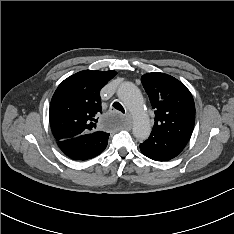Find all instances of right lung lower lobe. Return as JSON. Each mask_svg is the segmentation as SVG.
<instances>
[{"mask_svg":"<svg viewBox=\"0 0 234 234\" xmlns=\"http://www.w3.org/2000/svg\"><path fill=\"white\" fill-rule=\"evenodd\" d=\"M109 134L93 132L58 141L59 148L75 160L91 159L102 153L108 143Z\"/></svg>","mask_w":234,"mask_h":234,"instance_id":"obj_1","label":"right lung lower lobe"}]
</instances>
